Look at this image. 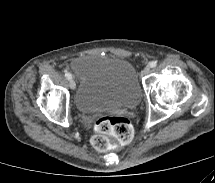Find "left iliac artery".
I'll return each instance as SVG.
<instances>
[{
	"mask_svg": "<svg viewBox=\"0 0 215 183\" xmlns=\"http://www.w3.org/2000/svg\"><path fill=\"white\" fill-rule=\"evenodd\" d=\"M149 66H150L151 68L156 67V66H157V62H156V61H151V62L149 63Z\"/></svg>",
	"mask_w": 215,
	"mask_h": 183,
	"instance_id": "left-iliac-artery-1",
	"label": "left iliac artery"
}]
</instances>
